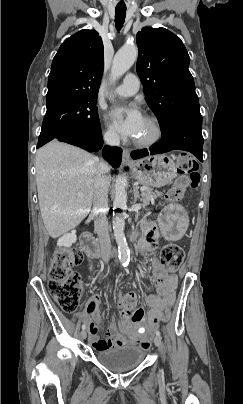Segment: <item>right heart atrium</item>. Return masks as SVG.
Returning a JSON list of instances; mask_svg holds the SVG:
<instances>
[{"instance_id": "d8ad5b80", "label": "right heart atrium", "mask_w": 243, "mask_h": 404, "mask_svg": "<svg viewBox=\"0 0 243 404\" xmlns=\"http://www.w3.org/2000/svg\"><path fill=\"white\" fill-rule=\"evenodd\" d=\"M103 139L107 144L111 146H119L121 143L120 136L112 130H105L103 132Z\"/></svg>"}]
</instances>
